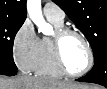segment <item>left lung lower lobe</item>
<instances>
[{
	"mask_svg": "<svg viewBox=\"0 0 107 89\" xmlns=\"http://www.w3.org/2000/svg\"><path fill=\"white\" fill-rule=\"evenodd\" d=\"M77 81L97 83L107 87V52L94 59L92 70L87 75L77 79Z\"/></svg>",
	"mask_w": 107,
	"mask_h": 89,
	"instance_id": "0a47b994",
	"label": "left lung lower lobe"
}]
</instances>
